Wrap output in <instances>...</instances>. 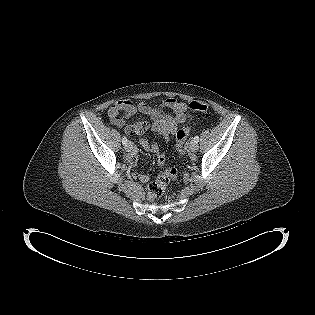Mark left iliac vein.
<instances>
[{
    "instance_id": "1",
    "label": "left iliac vein",
    "mask_w": 315,
    "mask_h": 315,
    "mask_svg": "<svg viewBox=\"0 0 315 315\" xmlns=\"http://www.w3.org/2000/svg\"><path fill=\"white\" fill-rule=\"evenodd\" d=\"M199 146L197 142L192 141L189 145V149L191 152H196L198 150Z\"/></svg>"
}]
</instances>
